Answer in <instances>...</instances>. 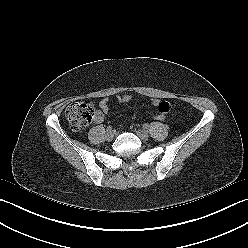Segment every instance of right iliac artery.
Masks as SVG:
<instances>
[{
	"mask_svg": "<svg viewBox=\"0 0 248 248\" xmlns=\"http://www.w3.org/2000/svg\"><path fill=\"white\" fill-rule=\"evenodd\" d=\"M106 130H107V132H108V131H112V127H111V126H108V127L106 128Z\"/></svg>",
	"mask_w": 248,
	"mask_h": 248,
	"instance_id": "right-iliac-artery-1",
	"label": "right iliac artery"
}]
</instances>
